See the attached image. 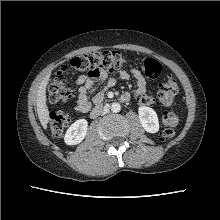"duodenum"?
Returning <instances> with one entry per match:
<instances>
[{
	"mask_svg": "<svg viewBox=\"0 0 220 220\" xmlns=\"http://www.w3.org/2000/svg\"><path fill=\"white\" fill-rule=\"evenodd\" d=\"M120 100L122 102H128L130 100V97L126 94H123L121 97H120ZM103 110V105H98L96 106L91 112H90V117L91 118H95L97 117Z\"/></svg>",
	"mask_w": 220,
	"mask_h": 220,
	"instance_id": "duodenum-1",
	"label": "duodenum"
}]
</instances>
